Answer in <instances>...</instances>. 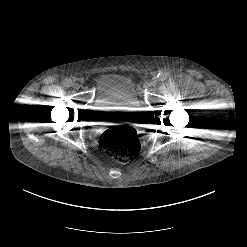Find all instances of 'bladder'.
I'll return each mask as SVG.
<instances>
[{"instance_id": "1", "label": "bladder", "mask_w": 247, "mask_h": 247, "mask_svg": "<svg viewBox=\"0 0 247 247\" xmlns=\"http://www.w3.org/2000/svg\"><path fill=\"white\" fill-rule=\"evenodd\" d=\"M97 121L135 118L141 106L134 82L127 76L115 73L104 74L96 84L94 99Z\"/></svg>"}]
</instances>
